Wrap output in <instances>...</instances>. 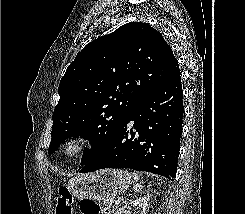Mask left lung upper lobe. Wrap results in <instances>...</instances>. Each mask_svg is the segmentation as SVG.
<instances>
[{
  "label": "left lung upper lobe",
  "instance_id": "obj_1",
  "mask_svg": "<svg viewBox=\"0 0 245 214\" xmlns=\"http://www.w3.org/2000/svg\"><path fill=\"white\" fill-rule=\"evenodd\" d=\"M177 66L162 34L148 23H127L87 44L61 78L49 155L81 136L92 144L83 154L85 164Z\"/></svg>",
  "mask_w": 245,
  "mask_h": 214
}]
</instances>
